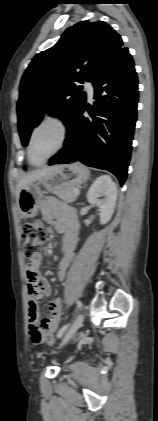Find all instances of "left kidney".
Wrapping results in <instances>:
<instances>
[{
	"label": "left kidney",
	"mask_w": 158,
	"mask_h": 421,
	"mask_svg": "<svg viewBox=\"0 0 158 421\" xmlns=\"http://www.w3.org/2000/svg\"><path fill=\"white\" fill-rule=\"evenodd\" d=\"M101 197H103L101 199ZM90 204L97 205L100 211V223L106 224L114 213L117 200V186L109 176H100L87 193Z\"/></svg>",
	"instance_id": "5707ae66"
}]
</instances>
